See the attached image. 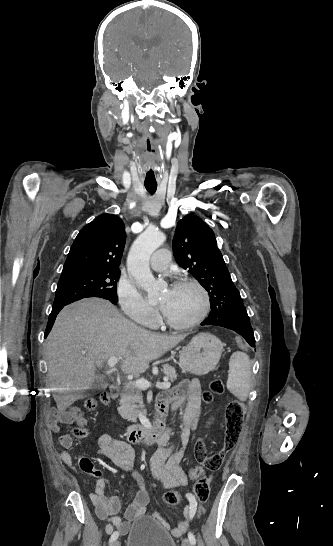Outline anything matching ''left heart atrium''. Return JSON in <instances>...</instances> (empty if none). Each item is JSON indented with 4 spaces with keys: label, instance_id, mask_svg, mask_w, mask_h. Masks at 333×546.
Returning a JSON list of instances; mask_svg holds the SVG:
<instances>
[{
    "label": "left heart atrium",
    "instance_id": "obj_1",
    "mask_svg": "<svg viewBox=\"0 0 333 546\" xmlns=\"http://www.w3.org/2000/svg\"><path fill=\"white\" fill-rule=\"evenodd\" d=\"M162 310L164 311V306H162Z\"/></svg>",
    "mask_w": 333,
    "mask_h": 546
}]
</instances>
